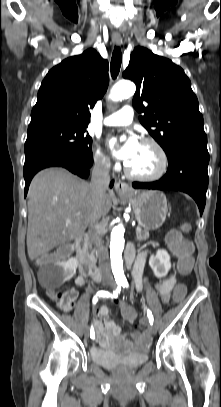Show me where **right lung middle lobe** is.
Masks as SVG:
<instances>
[{"label": "right lung middle lobe", "mask_w": 221, "mask_h": 407, "mask_svg": "<svg viewBox=\"0 0 221 407\" xmlns=\"http://www.w3.org/2000/svg\"><path fill=\"white\" fill-rule=\"evenodd\" d=\"M25 155L38 147H56L70 152L76 158L91 162L92 138L86 126L51 124L28 128Z\"/></svg>", "instance_id": "right-lung-middle-lobe-1"}]
</instances>
